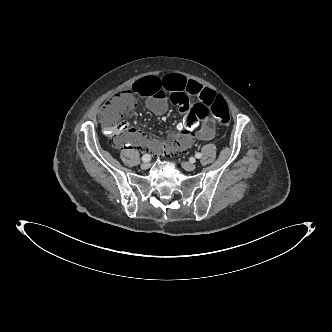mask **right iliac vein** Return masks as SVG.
<instances>
[{"label":"right iliac vein","mask_w":332,"mask_h":332,"mask_svg":"<svg viewBox=\"0 0 332 332\" xmlns=\"http://www.w3.org/2000/svg\"><path fill=\"white\" fill-rule=\"evenodd\" d=\"M149 167H150V163H149L148 161L143 162V163L141 164V169H143V170H146V169H148Z\"/></svg>","instance_id":"1"}]
</instances>
